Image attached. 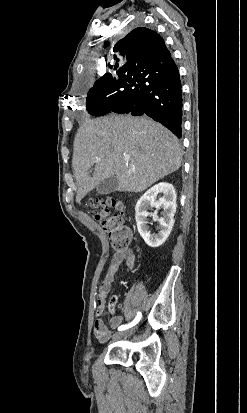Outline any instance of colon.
<instances>
[{
  "label": "colon",
  "mask_w": 247,
  "mask_h": 413,
  "mask_svg": "<svg viewBox=\"0 0 247 413\" xmlns=\"http://www.w3.org/2000/svg\"><path fill=\"white\" fill-rule=\"evenodd\" d=\"M122 207L123 204L116 199L94 203V208L97 210L94 216L101 223L103 230L108 233L110 242L116 250H123L131 237L123 223V217L109 214L110 210H120Z\"/></svg>",
  "instance_id": "obj_1"
}]
</instances>
